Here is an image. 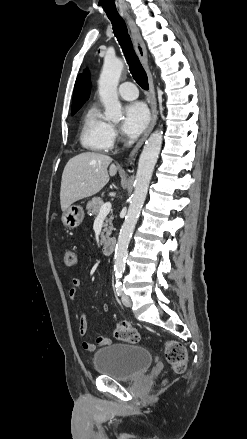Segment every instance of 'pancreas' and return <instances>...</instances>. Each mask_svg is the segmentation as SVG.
<instances>
[{"label": "pancreas", "mask_w": 247, "mask_h": 439, "mask_svg": "<svg viewBox=\"0 0 247 439\" xmlns=\"http://www.w3.org/2000/svg\"><path fill=\"white\" fill-rule=\"evenodd\" d=\"M103 205V200L100 197L92 198L91 201H89L86 205V210L89 215L98 216L101 206ZM113 217L110 216L109 218L105 219L104 225H103V231L101 234L102 240L109 237L113 230L112 225Z\"/></svg>", "instance_id": "cf45deb5"}]
</instances>
